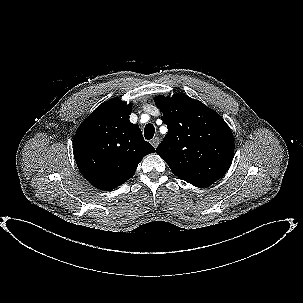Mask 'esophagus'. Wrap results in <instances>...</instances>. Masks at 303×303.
I'll return each instance as SVG.
<instances>
[{"mask_svg":"<svg viewBox=\"0 0 303 303\" xmlns=\"http://www.w3.org/2000/svg\"><path fill=\"white\" fill-rule=\"evenodd\" d=\"M159 142H160L159 137H154V138L151 140V144H152V146H153L154 148H156V147L158 146Z\"/></svg>","mask_w":303,"mask_h":303,"instance_id":"obj_1","label":"esophagus"}]
</instances>
